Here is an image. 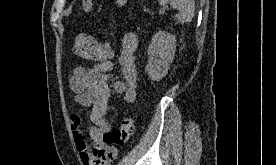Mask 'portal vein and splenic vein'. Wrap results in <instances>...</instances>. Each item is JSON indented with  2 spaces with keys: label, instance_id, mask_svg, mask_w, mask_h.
<instances>
[{
  "label": "portal vein and splenic vein",
  "instance_id": "1",
  "mask_svg": "<svg viewBox=\"0 0 276 165\" xmlns=\"http://www.w3.org/2000/svg\"><path fill=\"white\" fill-rule=\"evenodd\" d=\"M163 12H165V7L161 8V9L159 10V13H163Z\"/></svg>",
  "mask_w": 276,
  "mask_h": 165
}]
</instances>
